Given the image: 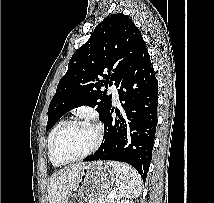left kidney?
Returning a JSON list of instances; mask_svg holds the SVG:
<instances>
[{"instance_id":"left-kidney-1","label":"left kidney","mask_w":214,"mask_h":203,"mask_svg":"<svg viewBox=\"0 0 214 203\" xmlns=\"http://www.w3.org/2000/svg\"><path fill=\"white\" fill-rule=\"evenodd\" d=\"M117 203H133V202L130 200H121V201H118Z\"/></svg>"}]
</instances>
